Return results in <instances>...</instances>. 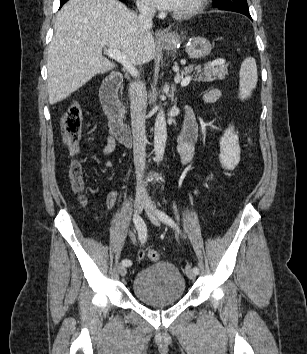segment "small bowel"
I'll return each instance as SVG.
<instances>
[{
    "mask_svg": "<svg viewBox=\"0 0 307 354\" xmlns=\"http://www.w3.org/2000/svg\"><path fill=\"white\" fill-rule=\"evenodd\" d=\"M220 97L218 89H212L204 94L206 102H214ZM198 138V127L192 117H187L185 124L178 140V153L184 165H188L193 159L194 143ZM118 140L110 133L105 146L102 149V156L110 155L116 148ZM240 158V147L238 137L235 133L234 127L229 125L221 139V154L220 163L226 170H232L238 164ZM213 179V174L204 176V180L210 181ZM117 192L113 191L108 195L107 203L112 206L117 199Z\"/></svg>",
    "mask_w": 307,
    "mask_h": 354,
    "instance_id": "1",
    "label": "small bowel"
}]
</instances>
